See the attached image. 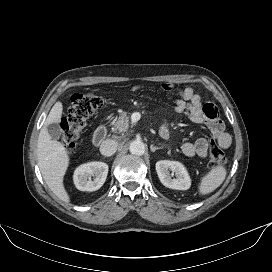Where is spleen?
Instances as JSON below:
<instances>
[{"instance_id":"obj_1","label":"spleen","mask_w":272,"mask_h":272,"mask_svg":"<svg viewBox=\"0 0 272 272\" xmlns=\"http://www.w3.org/2000/svg\"><path fill=\"white\" fill-rule=\"evenodd\" d=\"M226 168L222 165L215 166L202 179L199 185V193L206 195L218 188L226 178Z\"/></svg>"}]
</instances>
